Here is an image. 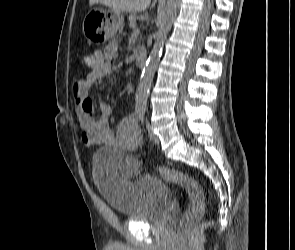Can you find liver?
Here are the masks:
<instances>
[{
	"label": "liver",
	"instance_id": "liver-1",
	"mask_svg": "<svg viewBox=\"0 0 295 250\" xmlns=\"http://www.w3.org/2000/svg\"><path fill=\"white\" fill-rule=\"evenodd\" d=\"M101 3L118 12L137 13L146 10L151 0H89V5ZM156 0L153 1L152 8L155 6Z\"/></svg>",
	"mask_w": 295,
	"mask_h": 250
}]
</instances>
